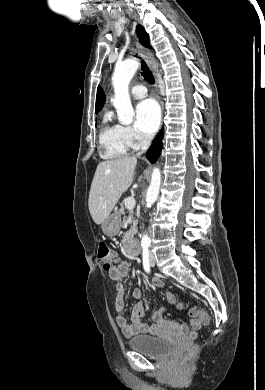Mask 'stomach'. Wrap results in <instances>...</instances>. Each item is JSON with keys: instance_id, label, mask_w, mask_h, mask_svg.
I'll return each mask as SVG.
<instances>
[{"instance_id": "stomach-1", "label": "stomach", "mask_w": 265, "mask_h": 390, "mask_svg": "<svg viewBox=\"0 0 265 390\" xmlns=\"http://www.w3.org/2000/svg\"><path fill=\"white\" fill-rule=\"evenodd\" d=\"M102 231L107 236H115L121 228L120 216L117 212L109 214V216L102 222Z\"/></svg>"}]
</instances>
